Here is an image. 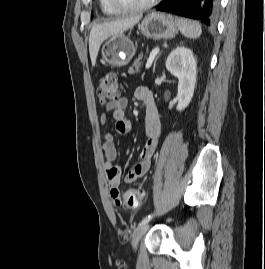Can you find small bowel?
<instances>
[{
    "label": "small bowel",
    "instance_id": "small-bowel-1",
    "mask_svg": "<svg viewBox=\"0 0 265 269\" xmlns=\"http://www.w3.org/2000/svg\"><path fill=\"white\" fill-rule=\"evenodd\" d=\"M134 96L136 100L143 103L146 107L145 131L148 136V140L139 153L137 162L125 177V181L127 183H132L147 173L161 135V122L151 90L146 86H140L136 89ZM127 104L128 101L125 97L118 98L114 102L105 104L106 110L112 112L113 118L116 121V131L120 135H127L132 129L130 120L125 117ZM99 123L101 126L107 125L108 115L105 113L101 114L99 117ZM102 150L106 159L104 163V170L106 180L110 187L111 196L114 202L119 204L117 193L121 182V170L114 164V161L117 158V149L113 136L110 133L105 134Z\"/></svg>",
    "mask_w": 265,
    "mask_h": 269
}]
</instances>
